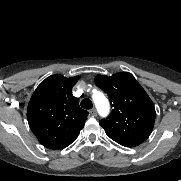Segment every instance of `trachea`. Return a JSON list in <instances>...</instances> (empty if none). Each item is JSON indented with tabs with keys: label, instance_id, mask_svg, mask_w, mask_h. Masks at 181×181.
<instances>
[{
	"label": "trachea",
	"instance_id": "obj_1",
	"mask_svg": "<svg viewBox=\"0 0 181 181\" xmlns=\"http://www.w3.org/2000/svg\"><path fill=\"white\" fill-rule=\"evenodd\" d=\"M81 107L84 109H91L92 108V101L88 98H85L81 101Z\"/></svg>",
	"mask_w": 181,
	"mask_h": 181
}]
</instances>
